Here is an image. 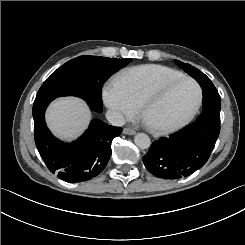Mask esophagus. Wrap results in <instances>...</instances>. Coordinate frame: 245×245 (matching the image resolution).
Masks as SVG:
<instances>
[{
    "label": "esophagus",
    "mask_w": 245,
    "mask_h": 245,
    "mask_svg": "<svg viewBox=\"0 0 245 245\" xmlns=\"http://www.w3.org/2000/svg\"><path fill=\"white\" fill-rule=\"evenodd\" d=\"M123 133L126 135H134V134H136V131L133 129H130V128H124Z\"/></svg>",
    "instance_id": "34e87169"
}]
</instances>
